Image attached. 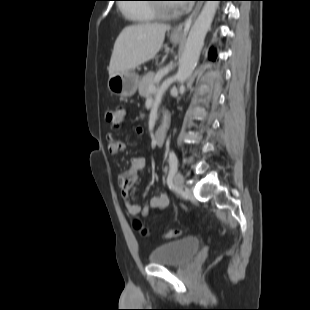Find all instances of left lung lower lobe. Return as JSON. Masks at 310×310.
Returning a JSON list of instances; mask_svg holds the SVG:
<instances>
[{"instance_id": "left-lung-lower-lobe-1", "label": "left lung lower lobe", "mask_w": 310, "mask_h": 310, "mask_svg": "<svg viewBox=\"0 0 310 310\" xmlns=\"http://www.w3.org/2000/svg\"><path fill=\"white\" fill-rule=\"evenodd\" d=\"M215 57H216V53L215 52H211L209 58L211 60H215Z\"/></svg>"}]
</instances>
